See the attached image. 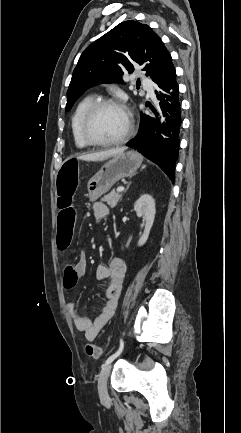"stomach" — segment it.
<instances>
[{
	"label": "stomach",
	"instance_id": "stomach-1",
	"mask_svg": "<svg viewBox=\"0 0 241 433\" xmlns=\"http://www.w3.org/2000/svg\"><path fill=\"white\" fill-rule=\"evenodd\" d=\"M142 157L135 151L121 152L105 163L89 180L88 197L93 202L108 192L120 179L132 176L140 167Z\"/></svg>",
	"mask_w": 241,
	"mask_h": 433
}]
</instances>
